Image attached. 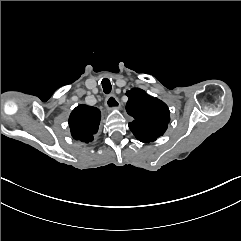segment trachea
<instances>
[{
	"label": "trachea",
	"instance_id": "1",
	"mask_svg": "<svg viewBox=\"0 0 241 241\" xmlns=\"http://www.w3.org/2000/svg\"><path fill=\"white\" fill-rule=\"evenodd\" d=\"M101 84H102L104 93L109 94L112 90V85L110 81L107 78H104Z\"/></svg>",
	"mask_w": 241,
	"mask_h": 241
}]
</instances>
